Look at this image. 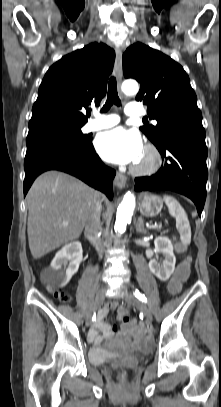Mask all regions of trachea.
<instances>
[{"mask_svg":"<svg viewBox=\"0 0 221 407\" xmlns=\"http://www.w3.org/2000/svg\"><path fill=\"white\" fill-rule=\"evenodd\" d=\"M113 104L121 106V101L117 93L116 78L114 76L109 79L107 100L101 112H107Z\"/></svg>","mask_w":221,"mask_h":407,"instance_id":"1","label":"trachea"}]
</instances>
